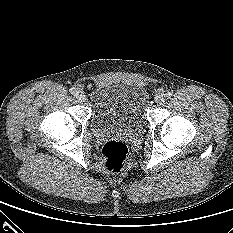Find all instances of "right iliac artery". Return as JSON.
<instances>
[{
  "label": "right iliac artery",
  "mask_w": 233,
  "mask_h": 233,
  "mask_svg": "<svg viewBox=\"0 0 233 233\" xmlns=\"http://www.w3.org/2000/svg\"><path fill=\"white\" fill-rule=\"evenodd\" d=\"M70 92H71V94H75L76 93V89L75 88H71Z\"/></svg>",
  "instance_id": "1"
}]
</instances>
